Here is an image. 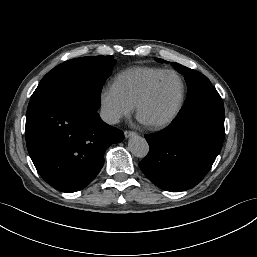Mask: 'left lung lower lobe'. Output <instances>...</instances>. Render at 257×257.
Masks as SVG:
<instances>
[{"label": "left lung lower lobe", "instance_id": "obj_1", "mask_svg": "<svg viewBox=\"0 0 257 257\" xmlns=\"http://www.w3.org/2000/svg\"><path fill=\"white\" fill-rule=\"evenodd\" d=\"M224 135L222 99L182 111L168 128L145 136L149 153L139 167L161 189H190L210 170Z\"/></svg>", "mask_w": 257, "mask_h": 257}]
</instances>
